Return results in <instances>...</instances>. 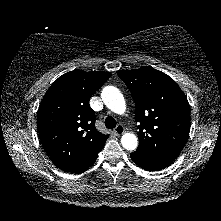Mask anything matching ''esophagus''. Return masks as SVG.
<instances>
[{"instance_id": "esophagus-1", "label": "esophagus", "mask_w": 221, "mask_h": 221, "mask_svg": "<svg viewBox=\"0 0 221 221\" xmlns=\"http://www.w3.org/2000/svg\"><path fill=\"white\" fill-rule=\"evenodd\" d=\"M124 131H125V129L121 124L117 125L115 127V129L113 130L114 134H116V135H121L124 133Z\"/></svg>"}]
</instances>
